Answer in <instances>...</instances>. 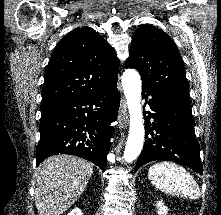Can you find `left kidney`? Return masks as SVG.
I'll return each instance as SVG.
<instances>
[{
	"instance_id": "5707ae66",
	"label": "left kidney",
	"mask_w": 221,
	"mask_h": 215,
	"mask_svg": "<svg viewBox=\"0 0 221 215\" xmlns=\"http://www.w3.org/2000/svg\"><path fill=\"white\" fill-rule=\"evenodd\" d=\"M158 215H166L168 212V208L164 206L162 201L157 202Z\"/></svg>"
}]
</instances>
